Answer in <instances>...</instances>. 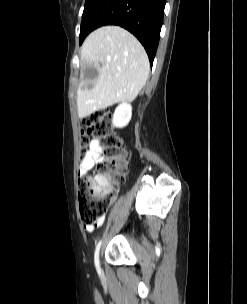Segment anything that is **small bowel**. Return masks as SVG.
Masks as SVG:
<instances>
[{"label": "small bowel", "mask_w": 247, "mask_h": 304, "mask_svg": "<svg viewBox=\"0 0 247 304\" xmlns=\"http://www.w3.org/2000/svg\"><path fill=\"white\" fill-rule=\"evenodd\" d=\"M102 152L103 149L100 143L97 140L91 141L89 149L87 153L84 155L79 167L78 173L80 177L87 175L95 165H98L102 161L103 159ZM102 223H103V217H101L93 225H86V230L88 232H92L95 227L101 226Z\"/></svg>", "instance_id": "1"}]
</instances>
